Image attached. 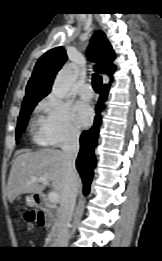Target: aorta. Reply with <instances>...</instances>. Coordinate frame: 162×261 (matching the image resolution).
<instances>
[{
    "mask_svg": "<svg viewBox=\"0 0 162 261\" xmlns=\"http://www.w3.org/2000/svg\"><path fill=\"white\" fill-rule=\"evenodd\" d=\"M74 64H69L64 66L57 74L53 87H52V93L60 98L64 99L67 97L71 85L75 81V75H74Z\"/></svg>",
    "mask_w": 162,
    "mask_h": 261,
    "instance_id": "762f6f07",
    "label": "aorta"
}]
</instances>
